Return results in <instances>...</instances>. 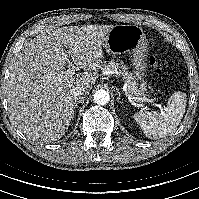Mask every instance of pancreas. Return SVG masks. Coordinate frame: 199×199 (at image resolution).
<instances>
[{"label": "pancreas", "mask_w": 199, "mask_h": 199, "mask_svg": "<svg viewBox=\"0 0 199 199\" xmlns=\"http://www.w3.org/2000/svg\"><path fill=\"white\" fill-rule=\"evenodd\" d=\"M104 70L107 71H117L119 70L120 73L126 78L128 83V91L136 96L144 95V89L138 88V83L134 80L132 74L128 71V67L123 65V63H116L114 61H110L104 64Z\"/></svg>", "instance_id": "pancreas-1"}]
</instances>
